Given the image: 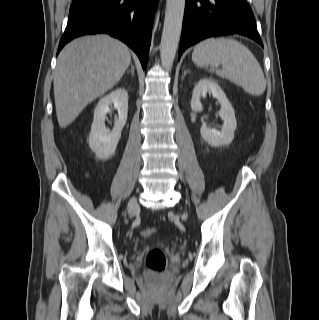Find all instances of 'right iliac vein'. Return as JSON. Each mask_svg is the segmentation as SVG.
I'll return each instance as SVG.
<instances>
[{"label": "right iliac vein", "instance_id": "obj_1", "mask_svg": "<svg viewBox=\"0 0 319 320\" xmlns=\"http://www.w3.org/2000/svg\"><path fill=\"white\" fill-rule=\"evenodd\" d=\"M127 209L130 215L136 213L139 210V204L136 197L130 199Z\"/></svg>", "mask_w": 319, "mask_h": 320}]
</instances>
